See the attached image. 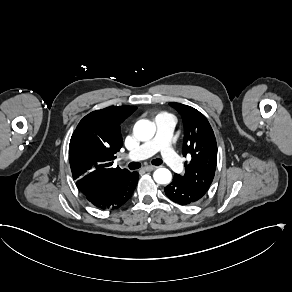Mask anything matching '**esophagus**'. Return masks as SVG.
<instances>
[{
    "instance_id": "esophagus-1",
    "label": "esophagus",
    "mask_w": 292,
    "mask_h": 292,
    "mask_svg": "<svg viewBox=\"0 0 292 292\" xmlns=\"http://www.w3.org/2000/svg\"><path fill=\"white\" fill-rule=\"evenodd\" d=\"M157 167L156 166H152V165H147V166H144L143 169L146 171V172H151L153 170H155Z\"/></svg>"
}]
</instances>
